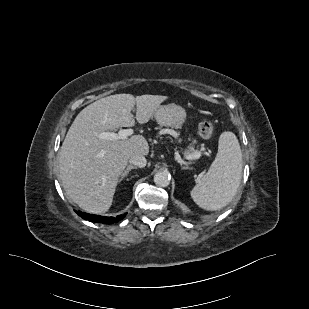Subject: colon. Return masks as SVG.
<instances>
[{
  "mask_svg": "<svg viewBox=\"0 0 309 309\" xmlns=\"http://www.w3.org/2000/svg\"><path fill=\"white\" fill-rule=\"evenodd\" d=\"M214 126L210 121H203L199 124L198 133L201 138L209 139L213 135Z\"/></svg>",
  "mask_w": 309,
  "mask_h": 309,
  "instance_id": "colon-1",
  "label": "colon"
}]
</instances>
